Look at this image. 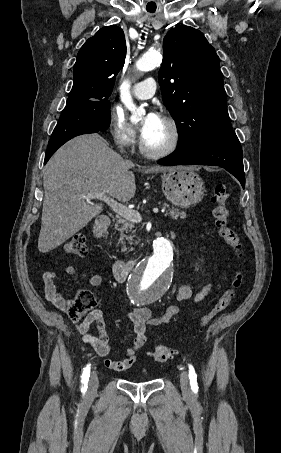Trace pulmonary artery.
Here are the masks:
<instances>
[{"instance_id": "obj_1", "label": "pulmonary artery", "mask_w": 281, "mask_h": 453, "mask_svg": "<svg viewBox=\"0 0 281 453\" xmlns=\"http://www.w3.org/2000/svg\"><path fill=\"white\" fill-rule=\"evenodd\" d=\"M156 81L154 78H147L141 82H138L133 88V94L137 98L148 99L154 94V90H149V87L155 86Z\"/></svg>"}]
</instances>
